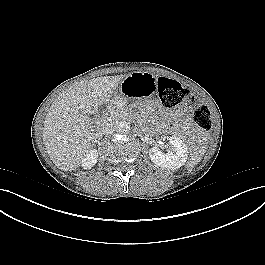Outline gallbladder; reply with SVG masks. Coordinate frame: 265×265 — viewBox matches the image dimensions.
I'll use <instances>...</instances> for the list:
<instances>
[{
	"label": "gallbladder",
	"mask_w": 265,
	"mask_h": 265,
	"mask_svg": "<svg viewBox=\"0 0 265 265\" xmlns=\"http://www.w3.org/2000/svg\"><path fill=\"white\" fill-rule=\"evenodd\" d=\"M94 117H95V115H91V118H93V119H94Z\"/></svg>",
	"instance_id": "gallbladder-1"
}]
</instances>
